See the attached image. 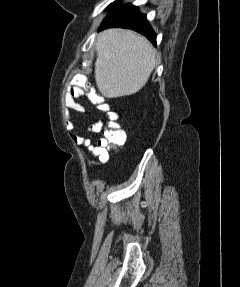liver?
Segmentation results:
<instances>
[{
    "mask_svg": "<svg viewBox=\"0 0 240 287\" xmlns=\"http://www.w3.org/2000/svg\"><path fill=\"white\" fill-rule=\"evenodd\" d=\"M95 80L108 98L132 95L147 83L156 66V51L143 36L125 29H108L96 40Z\"/></svg>",
    "mask_w": 240,
    "mask_h": 287,
    "instance_id": "obj_1",
    "label": "liver"
}]
</instances>
